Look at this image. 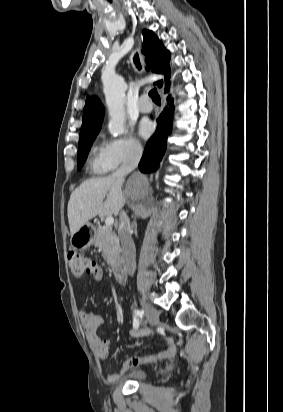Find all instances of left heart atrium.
Wrapping results in <instances>:
<instances>
[{"mask_svg":"<svg viewBox=\"0 0 283 412\" xmlns=\"http://www.w3.org/2000/svg\"><path fill=\"white\" fill-rule=\"evenodd\" d=\"M153 132V125L151 122L144 120L139 126V133L143 138H148Z\"/></svg>","mask_w":283,"mask_h":412,"instance_id":"left-heart-atrium-1","label":"left heart atrium"}]
</instances>
